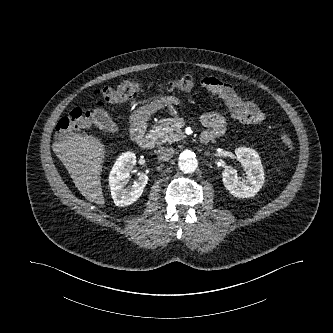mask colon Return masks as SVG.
<instances>
[{
	"label": "colon",
	"mask_w": 333,
	"mask_h": 333,
	"mask_svg": "<svg viewBox=\"0 0 333 333\" xmlns=\"http://www.w3.org/2000/svg\"><path fill=\"white\" fill-rule=\"evenodd\" d=\"M159 86L167 91H188L194 87V81L190 76H183L178 80L161 83ZM141 89V83L134 79L123 81L116 87H103L98 89L96 94L102 98V101L86 109H73L66 117L60 119L56 125L54 133L55 139L58 141L67 139L75 130L91 126L93 124L94 109L102 108L106 103L128 101L140 92ZM279 141L287 151L294 150V143L289 135L281 134Z\"/></svg>",
	"instance_id": "obj_1"
}]
</instances>
